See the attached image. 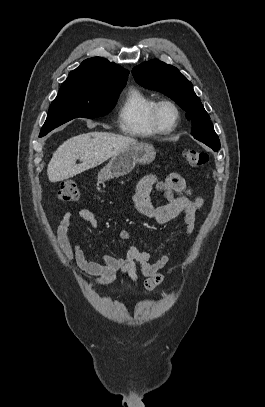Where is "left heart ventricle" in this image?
I'll use <instances>...</instances> for the list:
<instances>
[{
	"mask_svg": "<svg viewBox=\"0 0 265 407\" xmlns=\"http://www.w3.org/2000/svg\"><path fill=\"white\" fill-rule=\"evenodd\" d=\"M161 120L165 126L171 125L174 120L173 110L169 107H165L161 113Z\"/></svg>",
	"mask_w": 265,
	"mask_h": 407,
	"instance_id": "1",
	"label": "left heart ventricle"
}]
</instances>
